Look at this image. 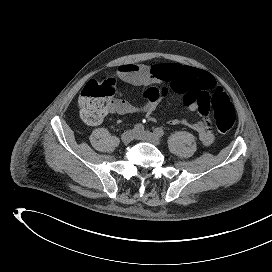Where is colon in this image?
I'll return each instance as SVG.
<instances>
[{
	"mask_svg": "<svg viewBox=\"0 0 272 272\" xmlns=\"http://www.w3.org/2000/svg\"><path fill=\"white\" fill-rule=\"evenodd\" d=\"M168 91L166 87L151 86L144 90L142 96L144 99L158 100L165 97ZM115 93L116 85L112 79L87 82L78 98L80 116L83 121L90 125L100 123L109 112ZM208 106L213 109L217 130L223 134L230 131L235 124L236 113L228 96L220 88H216L208 96Z\"/></svg>",
	"mask_w": 272,
	"mask_h": 272,
	"instance_id": "obj_1",
	"label": "colon"
}]
</instances>
